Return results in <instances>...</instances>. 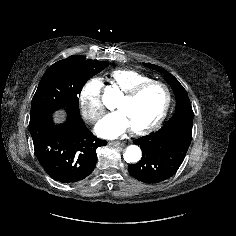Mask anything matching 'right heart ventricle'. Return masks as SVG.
Wrapping results in <instances>:
<instances>
[{
	"instance_id": "e07e8e85",
	"label": "right heart ventricle",
	"mask_w": 236,
	"mask_h": 236,
	"mask_svg": "<svg viewBox=\"0 0 236 236\" xmlns=\"http://www.w3.org/2000/svg\"><path fill=\"white\" fill-rule=\"evenodd\" d=\"M108 80L112 86L125 93L140 83L152 80V78L135 69L119 68L109 73Z\"/></svg>"
}]
</instances>
